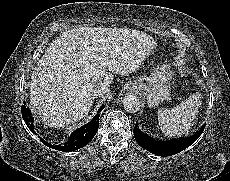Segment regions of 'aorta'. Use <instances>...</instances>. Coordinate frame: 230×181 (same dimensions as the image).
<instances>
[{
    "instance_id": "obj_1",
    "label": "aorta",
    "mask_w": 230,
    "mask_h": 181,
    "mask_svg": "<svg viewBox=\"0 0 230 181\" xmlns=\"http://www.w3.org/2000/svg\"><path fill=\"white\" fill-rule=\"evenodd\" d=\"M125 111L129 113H136L141 109V102L137 96L126 95L122 101Z\"/></svg>"
}]
</instances>
